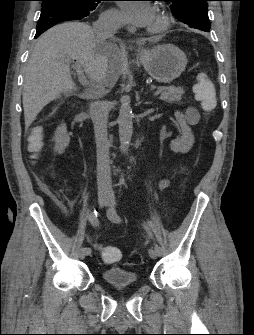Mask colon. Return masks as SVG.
<instances>
[{
  "label": "colon",
  "instance_id": "obj_1",
  "mask_svg": "<svg viewBox=\"0 0 254 335\" xmlns=\"http://www.w3.org/2000/svg\"><path fill=\"white\" fill-rule=\"evenodd\" d=\"M193 91L205 113L210 114L216 109L217 99L215 86L213 82L201 72L197 74ZM34 135L41 137L42 128H35ZM29 149L30 158L27 160L28 165H41V151L44 149L43 144H41L40 141H31ZM32 170L36 171L37 167L33 166ZM101 256L106 263H114L121 259V252L117 247L107 246L101 249Z\"/></svg>",
  "mask_w": 254,
  "mask_h": 335
}]
</instances>
